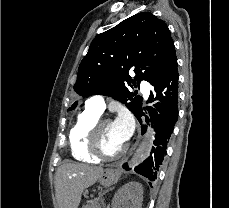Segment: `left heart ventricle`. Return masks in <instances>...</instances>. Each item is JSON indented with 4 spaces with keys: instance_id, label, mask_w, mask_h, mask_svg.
<instances>
[{
    "instance_id": "1",
    "label": "left heart ventricle",
    "mask_w": 229,
    "mask_h": 208,
    "mask_svg": "<svg viewBox=\"0 0 229 208\" xmlns=\"http://www.w3.org/2000/svg\"><path fill=\"white\" fill-rule=\"evenodd\" d=\"M100 131L103 137L100 139L101 152H117L126 144L116 132L113 123L104 124ZM107 156H110V153H107Z\"/></svg>"
}]
</instances>
